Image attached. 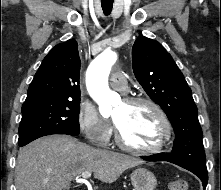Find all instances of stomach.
<instances>
[{
    "mask_svg": "<svg viewBox=\"0 0 221 190\" xmlns=\"http://www.w3.org/2000/svg\"><path fill=\"white\" fill-rule=\"evenodd\" d=\"M131 183L134 190H154L157 179L151 171L145 168H137L131 174Z\"/></svg>",
    "mask_w": 221,
    "mask_h": 190,
    "instance_id": "stomach-1",
    "label": "stomach"
}]
</instances>
